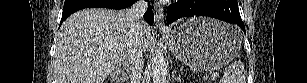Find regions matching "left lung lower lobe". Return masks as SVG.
I'll use <instances>...</instances> for the list:
<instances>
[{
  "mask_svg": "<svg viewBox=\"0 0 307 83\" xmlns=\"http://www.w3.org/2000/svg\"><path fill=\"white\" fill-rule=\"evenodd\" d=\"M188 16H209L236 23L245 32L237 0H179L168 6L167 24Z\"/></svg>",
  "mask_w": 307,
  "mask_h": 83,
  "instance_id": "1",
  "label": "left lung lower lobe"
}]
</instances>
